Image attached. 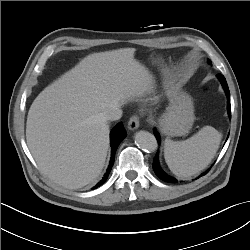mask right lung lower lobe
Masks as SVG:
<instances>
[{"instance_id": "obj_1", "label": "right lung lower lobe", "mask_w": 250, "mask_h": 250, "mask_svg": "<svg viewBox=\"0 0 250 250\" xmlns=\"http://www.w3.org/2000/svg\"><path fill=\"white\" fill-rule=\"evenodd\" d=\"M126 136V131L122 125V123H118L111 131L110 133V142H111V147H112V155H111V161L110 164L107 168L106 173L104 174V176L102 177L101 181L99 183H97L93 189L101 186L108 178L109 173L112 169L113 163H114V158H115V152L117 147L119 146L120 142L125 138Z\"/></svg>"}]
</instances>
